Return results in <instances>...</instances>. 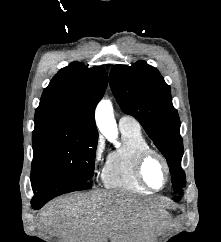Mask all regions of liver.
<instances>
[{"label": "liver", "mask_w": 221, "mask_h": 242, "mask_svg": "<svg viewBox=\"0 0 221 242\" xmlns=\"http://www.w3.org/2000/svg\"><path fill=\"white\" fill-rule=\"evenodd\" d=\"M166 206L129 192L71 194L48 203L39 225L60 242H153Z\"/></svg>", "instance_id": "obj_1"}]
</instances>
